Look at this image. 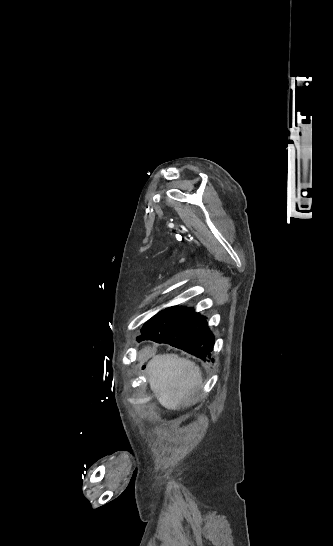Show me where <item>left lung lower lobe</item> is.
Returning a JSON list of instances; mask_svg holds the SVG:
<instances>
[{"label":"left lung lower lobe","instance_id":"0a47b994","mask_svg":"<svg viewBox=\"0 0 333 546\" xmlns=\"http://www.w3.org/2000/svg\"><path fill=\"white\" fill-rule=\"evenodd\" d=\"M206 318L190 307H168L144 323L138 340L167 343L205 360L214 344Z\"/></svg>","mask_w":333,"mask_h":546}]
</instances>
